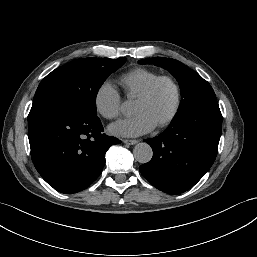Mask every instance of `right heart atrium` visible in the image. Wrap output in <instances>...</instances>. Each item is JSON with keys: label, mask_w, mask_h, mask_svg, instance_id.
<instances>
[{"label": "right heart atrium", "mask_w": 257, "mask_h": 257, "mask_svg": "<svg viewBox=\"0 0 257 257\" xmlns=\"http://www.w3.org/2000/svg\"><path fill=\"white\" fill-rule=\"evenodd\" d=\"M94 106L96 111L105 119H116L122 111L121 95L111 83L104 82L95 92Z\"/></svg>", "instance_id": "1"}]
</instances>
